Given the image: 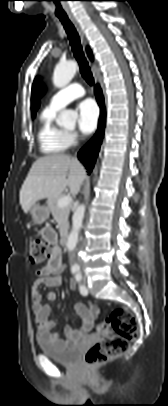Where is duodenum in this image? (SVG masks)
Instances as JSON below:
<instances>
[{"mask_svg":"<svg viewBox=\"0 0 168 406\" xmlns=\"http://www.w3.org/2000/svg\"><path fill=\"white\" fill-rule=\"evenodd\" d=\"M60 244H61L62 247L67 246V244H68V233H67V231H64L62 233L61 238H60Z\"/></svg>","mask_w":168,"mask_h":406,"instance_id":"410a0bca","label":"duodenum"}]
</instances>
